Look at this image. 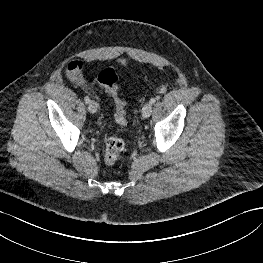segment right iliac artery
I'll return each instance as SVG.
<instances>
[{
    "label": "right iliac artery",
    "mask_w": 263,
    "mask_h": 263,
    "mask_svg": "<svg viewBox=\"0 0 263 263\" xmlns=\"http://www.w3.org/2000/svg\"><path fill=\"white\" fill-rule=\"evenodd\" d=\"M84 101H85V103H89L90 102V98L88 96H85L84 97Z\"/></svg>",
    "instance_id": "obj_1"
}]
</instances>
